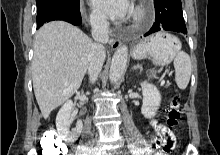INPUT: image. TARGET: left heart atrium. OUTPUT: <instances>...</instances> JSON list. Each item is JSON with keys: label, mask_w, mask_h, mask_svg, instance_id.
Here are the masks:
<instances>
[{"label": "left heart atrium", "mask_w": 220, "mask_h": 155, "mask_svg": "<svg viewBox=\"0 0 220 155\" xmlns=\"http://www.w3.org/2000/svg\"><path fill=\"white\" fill-rule=\"evenodd\" d=\"M92 4L101 12L112 18L124 19L133 13L130 0H91Z\"/></svg>", "instance_id": "left-heart-atrium-1"}]
</instances>
